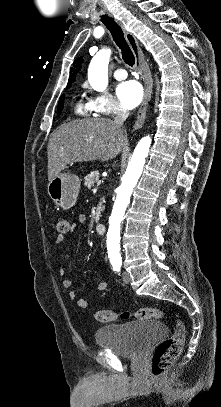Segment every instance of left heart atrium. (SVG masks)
Instances as JSON below:
<instances>
[{
	"label": "left heart atrium",
	"mask_w": 221,
	"mask_h": 407,
	"mask_svg": "<svg viewBox=\"0 0 221 407\" xmlns=\"http://www.w3.org/2000/svg\"><path fill=\"white\" fill-rule=\"evenodd\" d=\"M144 92L140 83L128 80L117 87V96L127 108H135L141 102Z\"/></svg>",
	"instance_id": "left-heart-atrium-1"
}]
</instances>
